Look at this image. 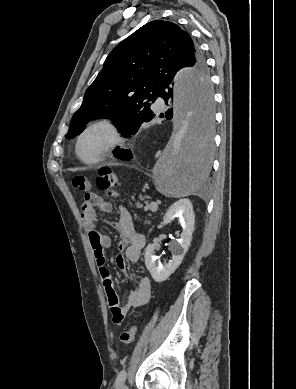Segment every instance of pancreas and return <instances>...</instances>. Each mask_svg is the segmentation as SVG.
Listing matches in <instances>:
<instances>
[{
	"instance_id": "obj_1",
	"label": "pancreas",
	"mask_w": 296,
	"mask_h": 389,
	"mask_svg": "<svg viewBox=\"0 0 296 389\" xmlns=\"http://www.w3.org/2000/svg\"><path fill=\"white\" fill-rule=\"evenodd\" d=\"M147 209H150V210H152V209H151V206H148V207H147ZM152 211H153V210H152Z\"/></svg>"
}]
</instances>
